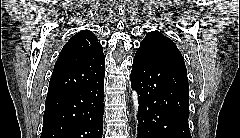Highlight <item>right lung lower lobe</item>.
Segmentation results:
<instances>
[{
	"instance_id": "right-lung-lower-lobe-1",
	"label": "right lung lower lobe",
	"mask_w": 240,
	"mask_h": 138,
	"mask_svg": "<svg viewBox=\"0 0 240 138\" xmlns=\"http://www.w3.org/2000/svg\"><path fill=\"white\" fill-rule=\"evenodd\" d=\"M104 76L95 84L46 99L41 138H102Z\"/></svg>"
}]
</instances>
